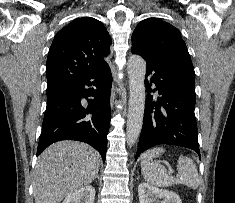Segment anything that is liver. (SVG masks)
Wrapping results in <instances>:
<instances>
[{"instance_id":"1","label":"liver","mask_w":235,"mask_h":203,"mask_svg":"<svg viewBox=\"0 0 235 203\" xmlns=\"http://www.w3.org/2000/svg\"><path fill=\"white\" fill-rule=\"evenodd\" d=\"M99 153L88 144L60 141L40 155L34 175L35 203H59L97 176Z\"/></svg>"}]
</instances>
